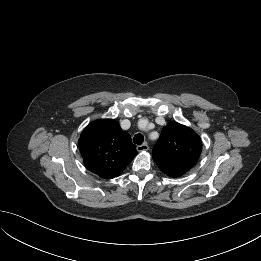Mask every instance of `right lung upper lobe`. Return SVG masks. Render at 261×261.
<instances>
[{"label": "right lung upper lobe", "mask_w": 261, "mask_h": 261, "mask_svg": "<svg viewBox=\"0 0 261 261\" xmlns=\"http://www.w3.org/2000/svg\"><path fill=\"white\" fill-rule=\"evenodd\" d=\"M79 149L88 170L101 178L119 176L137 155L131 137L113 119H98L81 133Z\"/></svg>", "instance_id": "right-lung-upper-lobe-1"}]
</instances>
